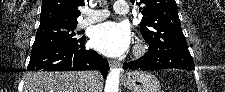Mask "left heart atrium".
Segmentation results:
<instances>
[{
  "instance_id": "39dd6f15",
  "label": "left heart atrium",
  "mask_w": 225,
  "mask_h": 92,
  "mask_svg": "<svg viewBox=\"0 0 225 92\" xmlns=\"http://www.w3.org/2000/svg\"><path fill=\"white\" fill-rule=\"evenodd\" d=\"M92 46L102 54L115 57L123 54L130 44V30L123 23L105 22L93 28Z\"/></svg>"
}]
</instances>
